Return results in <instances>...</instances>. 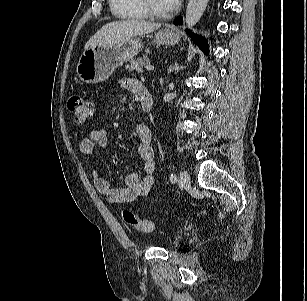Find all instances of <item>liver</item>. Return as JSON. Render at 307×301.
Here are the masks:
<instances>
[{
    "instance_id": "obj_1",
    "label": "liver",
    "mask_w": 307,
    "mask_h": 301,
    "mask_svg": "<svg viewBox=\"0 0 307 301\" xmlns=\"http://www.w3.org/2000/svg\"><path fill=\"white\" fill-rule=\"evenodd\" d=\"M161 27L160 23H151L143 20H121L104 25L85 44L87 50L97 45H111L124 39L149 34Z\"/></svg>"
}]
</instances>
